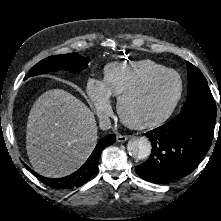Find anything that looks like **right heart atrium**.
<instances>
[{
	"mask_svg": "<svg viewBox=\"0 0 221 221\" xmlns=\"http://www.w3.org/2000/svg\"><path fill=\"white\" fill-rule=\"evenodd\" d=\"M87 97L100 119L112 114L110 94L102 81L90 79L86 86Z\"/></svg>",
	"mask_w": 221,
	"mask_h": 221,
	"instance_id": "d8ad5b80",
	"label": "right heart atrium"
}]
</instances>
